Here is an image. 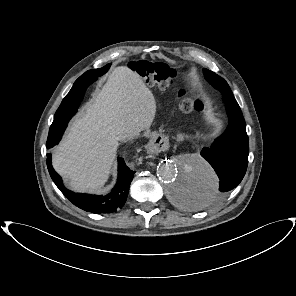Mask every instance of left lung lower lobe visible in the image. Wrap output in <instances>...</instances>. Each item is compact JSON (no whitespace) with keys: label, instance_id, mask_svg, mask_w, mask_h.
<instances>
[{"label":"left lung lower lobe","instance_id":"0a47b994","mask_svg":"<svg viewBox=\"0 0 296 296\" xmlns=\"http://www.w3.org/2000/svg\"><path fill=\"white\" fill-rule=\"evenodd\" d=\"M229 125L201 156L214 168L219 177V190L204 194L197 191L185 176L177 187V200L183 207L200 209L223 198L242 181L248 166L249 142L241 109L234 97L225 99Z\"/></svg>","mask_w":296,"mask_h":296}]
</instances>
